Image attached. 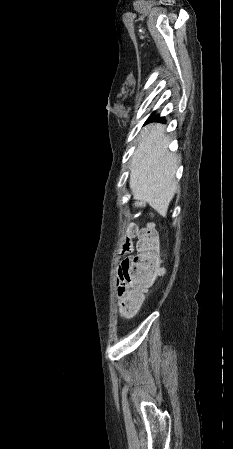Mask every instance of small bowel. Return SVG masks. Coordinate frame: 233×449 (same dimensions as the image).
Masks as SVG:
<instances>
[{"label": "small bowel", "instance_id": "small-bowel-1", "mask_svg": "<svg viewBox=\"0 0 233 449\" xmlns=\"http://www.w3.org/2000/svg\"><path fill=\"white\" fill-rule=\"evenodd\" d=\"M117 294L127 299L130 295V284L127 278V272L121 267L118 268L116 278Z\"/></svg>", "mask_w": 233, "mask_h": 449}]
</instances>
